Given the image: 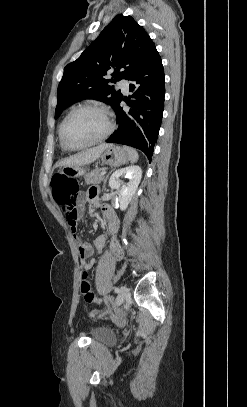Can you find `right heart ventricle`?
Returning a JSON list of instances; mask_svg holds the SVG:
<instances>
[{
	"mask_svg": "<svg viewBox=\"0 0 247 407\" xmlns=\"http://www.w3.org/2000/svg\"><path fill=\"white\" fill-rule=\"evenodd\" d=\"M58 132H59V129H58ZM60 147H61L62 151H66V150L62 147L61 144H60Z\"/></svg>",
	"mask_w": 247,
	"mask_h": 407,
	"instance_id": "1",
	"label": "right heart ventricle"
}]
</instances>
